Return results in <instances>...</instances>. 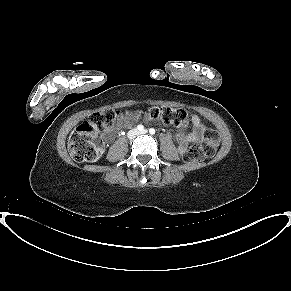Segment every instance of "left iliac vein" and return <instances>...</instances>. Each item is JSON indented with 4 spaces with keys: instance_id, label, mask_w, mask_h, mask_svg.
Wrapping results in <instances>:
<instances>
[{
    "instance_id": "4c4485c4",
    "label": "left iliac vein",
    "mask_w": 291,
    "mask_h": 291,
    "mask_svg": "<svg viewBox=\"0 0 291 291\" xmlns=\"http://www.w3.org/2000/svg\"><path fill=\"white\" fill-rule=\"evenodd\" d=\"M147 133H148V131H147L146 129H144V130L138 132V134H147Z\"/></svg>"
}]
</instances>
